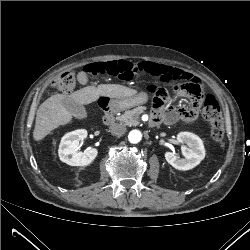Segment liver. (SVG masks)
<instances>
[{"label":"liver","mask_w":250,"mask_h":250,"mask_svg":"<svg viewBox=\"0 0 250 250\" xmlns=\"http://www.w3.org/2000/svg\"><path fill=\"white\" fill-rule=\"evenodd\" d=\"M136 93L137 90L123 85L100 84L97 87H84L70 95H52L39 106L36 112L33 138L36 141H40L57 127L71 122L72 115L62 105L63 98L68 97L82 105H87L98 100L100 96L124 98L133 96Z\"/></svg>","instance_id":"obj_1"}]
</instances>
